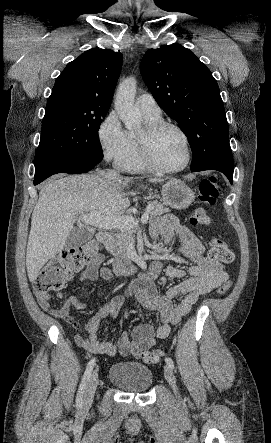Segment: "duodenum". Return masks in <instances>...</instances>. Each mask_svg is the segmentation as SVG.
<instances>
[{
	"mask_svg": "<svg viewBox=\"0 0 271 443\" xmlns=\"http://www.w3.org/2000/svg\"><path fill=\"white\" fill-rule=\"evenodd\" d=\"M96 238L101 243H109L112 235L107 231H100L97 233ZM113 270L119 275H128L135 272V267L130 262H116L113 265Z\"/></svg>",
	"mask_w": 271,
	"mask_h": 443,
	"instance_id": "obj_1",
	"label": "duodenum"
}]
</instances>
